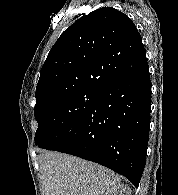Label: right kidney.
Masks as SVG:
<instances>
[{"mask_svg":"<svg viewBox=\"0 0 178 195\" xmlns=\"http://www.w3.org/2000/svg\"><path fill=\"white\" fill-rule=\"evenodd\" d=\"M104 195H131V189L125 184H116L107 189Z\"/></svg>","mask_w":178,"mask_h":195,"instance_id":"right-kidney-1","label":"right kidney"}]
</instances>
